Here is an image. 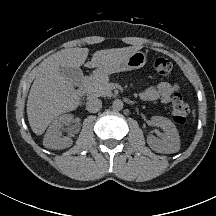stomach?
<instances>
[{"instance_id":"stomach-1","label":"stomach","mask_w":216,"mask_h":216,"mask_svg":"<svg viewBox=\"0 0 216 216\" xmlns=\"http://www.w3.org/2000/svg\"><path fill=\"white\" fill-rule=\"evenodd\" d=\"M146 60V55L143 52L136 51L129 55L127 58L121 60L120 62L114 65L99 67L93 72V75L95 77H98L122 71H131L134 69H139L146 64Z\"/></svg>"}]
</instances>
